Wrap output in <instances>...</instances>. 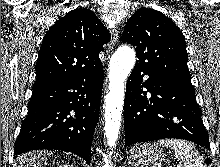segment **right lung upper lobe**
I'll use <instances>...</instances> for the list:
<instances>
[{
	"label": "right lung upper lobe",
	"instance_id": "obj_1",
	"mask_svg": "<svg viewBox=\"0 0 220 167\" xmlns=\"http://www.w3.org/2000/svg\"><path fill=\"white\" fill-rule=\"evenodd\" d=\"M109 39V32L89 9L68 12L43 38L33 90L68 81L100 67L99 53Z\"/></svg>",
	"mask_w": 220,
	"mask_h": 167
}]
</instances>
